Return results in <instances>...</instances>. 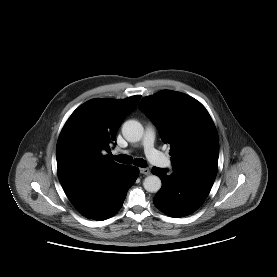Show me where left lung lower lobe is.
Returning a JSON list of instances; mask_svg holds the SVG:
<instances>
[{
    "instance_id": "0a47b994",
    "label": "left lung lower lobe",
    "mask_w": 277,
    "mask_h": 277,
    "mask_svg": "<svg viewBox=\"0 0 277 277\" xmlns=\"http://www.w3.org/2000/svg\"><path fill=\"white\" fill-rule=\"evenodd\" d=\"M152 168V173L162 180V187L153 198L155 206L172 217H183L194 212L206 199L215 177L173 172Z\"/></svg>"
}]
</instances>
